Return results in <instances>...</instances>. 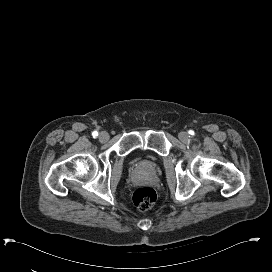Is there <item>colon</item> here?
<instances>
[{
    "mask_svg": "<svg viewBox=\"0 0 272 272\" xmlns=\"http://www.w3.org/2000/svg\"><path fill=\"white\" fill-rule=\"evenodd\" d=\"M156 199V192L150 187L138 188L132 195V202L134 206L140 211L148 210L155 204Z\"/></svg>",
    "mask_w": 272,
    "mask_h": 272,
    "instance_id": "obj_1",
    "label": "colon"
}]
</instances>
